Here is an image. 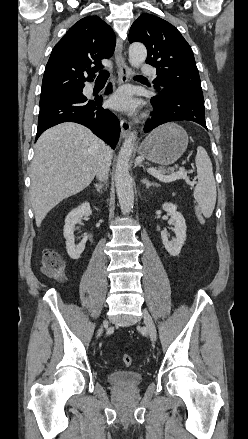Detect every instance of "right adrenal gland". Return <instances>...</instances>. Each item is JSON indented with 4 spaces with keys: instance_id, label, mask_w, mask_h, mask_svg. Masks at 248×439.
Here are the masks:
<instances>
[{
    "instance_id": "right-adrenal-gland-1",
    "label": "right adrenal gland",
    "mask_w": 248,
    "mask_h": 439,
    "mask_svg": "<svg viewBox=\"0 0 248 439\" xmlns=\"http://www.w3.org/2000/svg\"><path fill=\"white\" fill-rule=\"evenodd\" d=\"M94 186H95V188H96V190H97L98 193H101V192H102V185H100V184H94Z\"/></svg>"
}]
</instances>
